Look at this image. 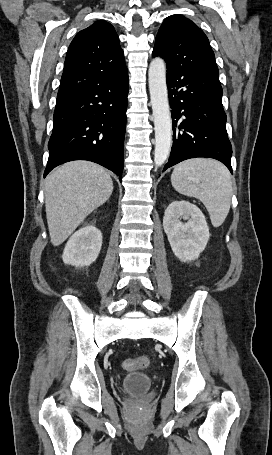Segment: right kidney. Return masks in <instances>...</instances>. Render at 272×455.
<instances>
[{
    "label": "right kidney",
    "mask_w": 272,
    "mask_h": 455,
    "mask_svg": "<svg viewBox=\"0 0 272 455\" xmlns=\"http://www.w3.org/2000/svg\"><path fill=\"white\" fill-rule=\"evenodd\" d=\"M101 247V231L93 225H86L68 240L62 255L63 262L76 267L89 266L97 259Z\"/></svg>",
    "instance_id": "1"
}]
</instances>
